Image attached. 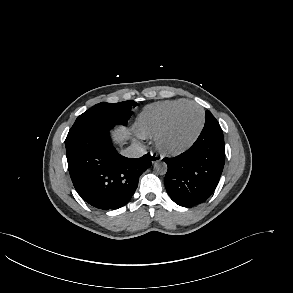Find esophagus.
<instances>
[{"instance_id":"obj_1","label":"esophagus","mask_w":293,"mask_h":293,"mask_svg":"<svg viewBox=\"0 0 293 293\" xmlns=\"http://www.w3.org/2000/svg\"><path fill=\"white\" fill-rule=\"evenodd\" d=\"M150 161L152 164H155L161 161V157L157 154H151Z\"/></svg>"}]
</instances>
